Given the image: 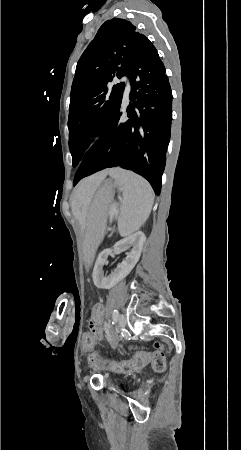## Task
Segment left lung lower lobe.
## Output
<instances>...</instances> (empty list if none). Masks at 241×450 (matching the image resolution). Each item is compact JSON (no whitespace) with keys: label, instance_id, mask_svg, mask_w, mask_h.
<instances>
[{"label":"left lung lower lobe","instance_id":"left-lung-lower-lobe-1","mask_svg":"<svg viewBox=\"0 0 241 450\" xmlns=\"http://www.w3.org/2000/svg\"><path fill=\"white\" fill-rule=\"evenodd\" d=\"M126 75L133 101L127 108L129 119L121 122V100L100 128L102 139L83 156L74 185L102 169L121 167L143 176L159 194L170 140L172 91L155 47L133 57Z\"/></svg>","mask_w":241,"mask_h":450}]
</instances>
